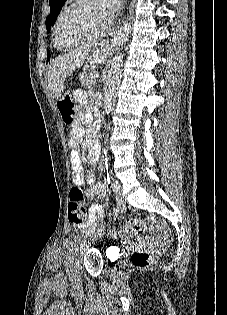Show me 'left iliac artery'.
Instances as JSON below:
<instances>
[{
	"label": "left iliac artery",
	"instance_id": "obj_1",
	"mask_svg": "<svg viewBox=\"0 0 227 315\" xmlns=\"http://www.w3.org/2000/svg\"><path fill=\"white\" fill-rule=\"evenodd\" d=\"M108 184L113 188L114 186V181H112L111 179L108 178ZM96 227H97V223H94L89 229L88 231L86 232V237L87 236H90L91 234H93L96 230Z\"/></svg>",
	"mask_w": 227,
	"mask_h": 315
}]
</instances>
